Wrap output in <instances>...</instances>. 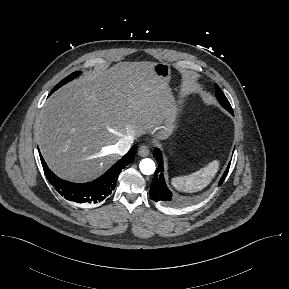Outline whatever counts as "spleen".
<instances>
[{
    "label": "spleen",
    "mask_w": 289,
    "mask_h": 289,
    "mask_svg": "<svg viewBox=\"0 0 289 289\" xmlns=\"http://www.w3.org/2000/svg\"><path fill=\"white\" fill-rule=\"evenodd\" d=\"M219 169V161L214 160L204 168L188 175L172 179V185L179 191L195 192L206 187L214 178Z\"/></svg>",
    "instance_id": "obj_1"
}]
</instances>
